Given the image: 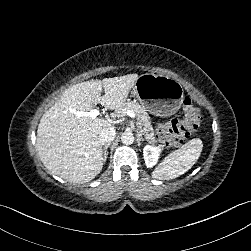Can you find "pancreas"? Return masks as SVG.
<instances>
[{"label": "pancreas", "mask_w": 251, "mask_h": 251, "mask_svg": "<svg viewBox=\"0 0 251 251\" xmlns=\"http://www.w3.org/2000/svg\"><path fill=\"white\" fill-rule=\"evenodd\" d=\"M117 111L125 112L130 110L135 113L138 120L137 125L141 128V132L149 143H156L157 140L154 137V130L151 125V120L145 109L136 101H124L117 105Z\"/></svg>", "instance_id": "1"}]
</instances>
